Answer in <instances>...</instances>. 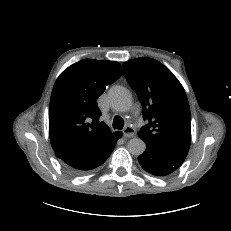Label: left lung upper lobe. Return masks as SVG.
Listing matches in <instances>:
<instances>
[{"label":"left lung upper lobe","mask_w":231,"mask_h":231,"mask_svg":"<svg viewBox=\"0 0 231 231\" xmlns=\"http://www.w3.org/2000/svg\"><path fill=\"white\" fill-rule=\"evenodd\" d=\"M123 73L143 106L140 138L149 146L188 153L191 115L186 93L174 74L152 58L124 62Z\"/></svg>","instance_id":"5c2ea615"}]
</instances>
